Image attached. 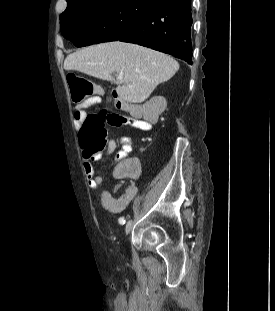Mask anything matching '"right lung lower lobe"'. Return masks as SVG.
Masks as SVG:
<instances>
[{
	"label": "right lung lower lobe",
	"mask_w": 275,
	"mask_h": 311,
	"mask_svg": "<svg viewBox=\"0 0 275 311\" xmlns=\"http://www.w3.org/2000/svg\"><path fill=\"white\" fill-rule=\"evenodd\" d=\"M191 25L190 0H162L115 40L143 45L192 64Z\"/></svg>",
	"instance_id": "1"
}]
</instances>
